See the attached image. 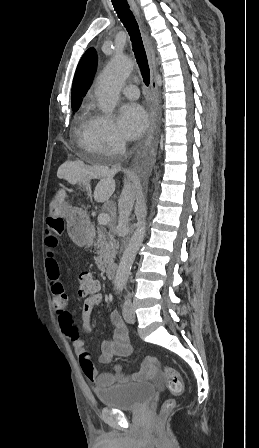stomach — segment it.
<instances>
[{
  "instance_id": "0dacf381",
  "label": "stomach",
  "mask_w": 259,
  "mask_h": 448,
  "mask_svg": "<svg viewBox=\"0 0 259 448\" xmlns=\"http://www.w3.org/2000/svg\"><path fill=\"white\" fill-rule=\"evenodd\" d=\"M50 216H60V210L57 208L54 200L49 206ZM64 220L68 221V232L75 244L86 246L90 244L93 238V230L88 218L87 212H83L81 206H66L64 208Z\"/></svg>"
}]
</instances>
